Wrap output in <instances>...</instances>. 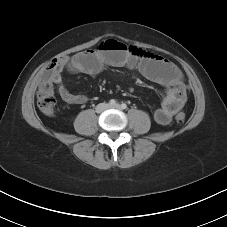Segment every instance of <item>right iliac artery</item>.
Masks as SVG:
<instances>
[{
    "label": "right iliac artery",
    "mask_w": 227,
    "mask_h": 227,
    "mask_svg": "<svg viewBox=\"0 0 227 227\" xmlns=\"http://www.w3.org/2000/svg\"><path fill=\"white\" fill-rule=\"evenodd\" d=\"M109 104H110V105H115V104H116V101H115L114 99H111V100L109 101Z\"/></svg>",
    "instance_id": "1"
}]
</instances>
